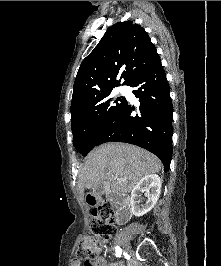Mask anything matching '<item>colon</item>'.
Returning <instances> with one entry per match:
<instances>
[{"label": "colon", "mask_w": 221, "mask_h": 266, "mask_svg": "<svg viewBox=\"0 0 221 266\" xmlns=\"http://www.w3.org/2000/svg\"><path fill=\"white\" fill-rule=\"evenodd\" d=\"M93 215L90 234L84 236L79 243L77 256L81 260L96 258L100 250L99 241L110 238L116 232L112 223L114 207L110 202H103L94 208Z\"/></svg>", "instance_id": "obj_1"}]
</instances>
